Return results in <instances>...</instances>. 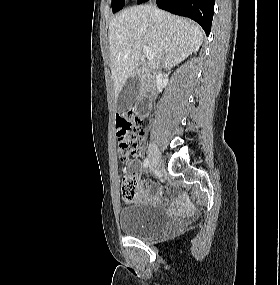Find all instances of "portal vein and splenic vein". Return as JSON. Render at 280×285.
<instances>
[{
  "label": "portal vein and splenic vein",
  "instance_id": "portal-vein-and-splenic-vein-1",
  "mask_svg": "<svg viewBox=\"0 0 280 285\" xmlns=\"http://www.w3.org/2000/svg\"><path fill=\"white\" fill-rule=\"evenodd\" d=\"M143 53L148 60H152L154 58V53L150 50L147 45L143 46Z\"/></svg>",
  "mask_w": 280,
  "mask_h": 285
}]
</instances>
